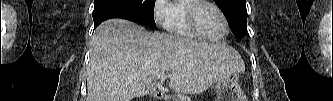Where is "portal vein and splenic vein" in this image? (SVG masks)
<instances>
[{
	"label": "portal vein and splenic vein",
	"instance_id": "18ae733b",
	"mask_svg": "<svg viewBox=\"0 0 333 101\" xmlns=\"http://www.w3.org/2000/svg\"><path fill=\"white\" fill-rule=\"evenodd\" d=\"M158 78L164 80V79L167 78V75L166 74H159Z\"/></svg>",
	"mask_w": 333,
	"mask_h": 101
}]
</instances>
